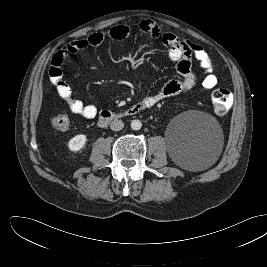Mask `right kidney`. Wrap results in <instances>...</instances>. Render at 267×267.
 <instances>
[{"instance_id": "obj_1", "label": "right kidney", "mask_w": 267, "mask_h": 267, "mask_svg": "<svg viewBox=\"0 0 267 267\" xmlns=\"http://www.w3.org/2000/svg\"><path fill=\"white\" fill-rule=\"evenodd\" d=\"M86 141H87V138L85 135L83 134L76 135L75 137L70 139L68 143V148L70 151L77 152L85 146Z\"/></svg>"}]
</instances>
